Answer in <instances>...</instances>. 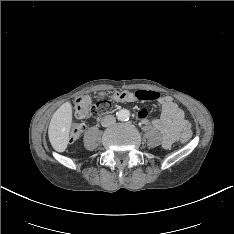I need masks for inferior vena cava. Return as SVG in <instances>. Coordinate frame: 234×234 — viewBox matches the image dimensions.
I'll return each mask as SVG.
<instances>
[{
	"instance_id": "602c4592",
	"label": "inferior vena cava",
	"mask_w": 234,
	"mask_h": 234,
	"mask_svg": "<svg viewBox=\"0 0 234 234\" xmlns=\"http://www.w3.org/2000/svg\"><path fill=\"white\" fill-rule=\"evenodd\" d=\"M116 122V119L113 115H106L101 119V125L103 127H108L113 125Z\"/></svg>"
}]
</instances>
